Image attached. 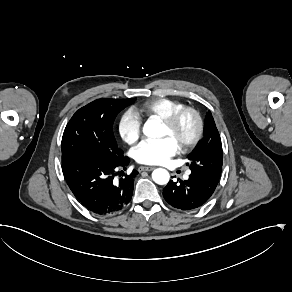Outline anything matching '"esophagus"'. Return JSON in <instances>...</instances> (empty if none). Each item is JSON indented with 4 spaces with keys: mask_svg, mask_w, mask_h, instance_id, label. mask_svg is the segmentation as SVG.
<instances>
[{
    "mask_svg": "<svg viewBox=\"0 0 292 292\" xmlns=\"http://www.w3.org/2000/svg\"><path fill=\"white\" fill-rule=\"evenodd\" d=\"M155 167H151V166H140L138 168V171L139 172H142V171H152L154 170Z\"/></svg>",
    "mask_w": 292,
    "mask_h": 292,
    "instance_id": "obj_1",
    "label": "esophagus"
}]
</instances>
